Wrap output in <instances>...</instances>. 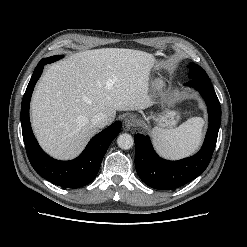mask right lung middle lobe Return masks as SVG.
Masks as SVG:
<instances>
[{
    "label": "right lung middle lobe",
    "mask_w": 247,
    "mask_h": 247,
    "mask_svg": "<svg viewBox=\"0 0 247 247\" xmlns=\"http://www.w3.org/2000/svg\"><path fill=\"white\" fill-rule=\"evenodd\" d=\"M50 59H52L53 60V62H55V61H57V60H59V59H61L62 58V56H52V57H49Z\"/></svg>",
    "instance_id": "1"
}]
</instances>
